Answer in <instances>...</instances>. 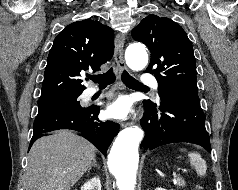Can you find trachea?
I'll return each mask as SVG.
<instances>
[{"label":"trachea","instance_id":"obj_1","mask_svg":"<svg viewBox=\"0 0 238 190\" xmlns=\"http://www.w3.org/2000/svg\"><path fill=\"white\" fill-rule=\"evenodd\" d=\"M90 79L93 82H96L99 84V86L105 87L107 85H110L115 80V74L113 72V69L111 68L109 71H107L104 74L96 75V76H90ZM122 81L127 87L132 88H148L147 86L141 84L139 81H137L135 78L130 76L127 71H123L122 73Z\"/></svg>","mask_w":238,"mask_h":190}]
</instances>
